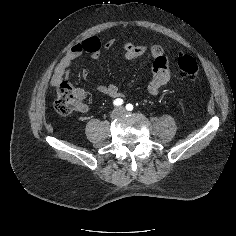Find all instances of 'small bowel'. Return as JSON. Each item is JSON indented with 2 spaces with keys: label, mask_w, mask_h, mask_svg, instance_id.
Here are the masks:
<instances>
[{
  "label": "small bowel",
  "mask_w": 236,
  "mask_h": 236,
  "mask_svg": "<svg viewBox=\"0 0 236 236\" xmlns=\"http://www.w3.org/2000/svg\"><path fill=\"white\" fill-rule=\"evenodd\" d=\"M113 43L114 42L112 39L102 42L98 37L91 36L82 42L74 44L55 67L50 81L51 85L53 87H58L60 84L66 83L72 63L83 54L87 53L90 54L93 59H98L102 51L110 49ZM146 52H150L153 58V76L147 85V91L152 95H157L161 89L169 83L171 77L170 59L164 48L158 44L135 45L131 42H127L123 45V55L127 60L137 59ZM82 76L84 79H88L89 72L84 70ZM96 90L99 93L114 99L122 97V93L120 92L118 86L113 83L99 84L96 86ZM82 111H87V106H83Z\"/></svg>",
  "instance_id": "small-bowel-1"
}]
</instances>
